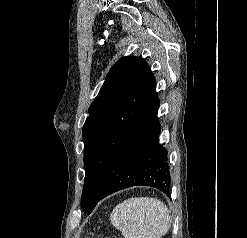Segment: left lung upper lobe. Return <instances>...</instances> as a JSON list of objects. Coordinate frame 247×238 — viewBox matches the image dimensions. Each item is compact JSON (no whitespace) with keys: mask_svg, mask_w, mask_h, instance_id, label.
<instances>
[{"mask_svg":"<svg viewBox=\"0 0 247 238\" xmlns=\"http://www.w3.org/2000/svg\"><path fill=\"white\" fill-rule=\"evenodd\" d=\"M157 98L156 80L141 57H122L110 69L83 126L85 183L81 206L90 214L104 174Z\"/></svg>","mask_w":247,"mask_h":238,"instance_id":"1","label":"left lung upper lobe"}]
</instances>
